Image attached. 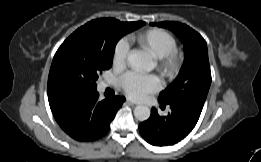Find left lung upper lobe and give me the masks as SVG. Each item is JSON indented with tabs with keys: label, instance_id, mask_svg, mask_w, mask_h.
<instances>
[{
	"label": "left lung upper lobe",
	"instance_id": "obj_1",
	"mask_svg": "<svg viewBox=\"0 0 261 162\" xmlns=\"http://www.w3.org/2000/svg\"><path fill=\"white\" fill-rule=\"evenodd\" d=\"M152 26L168 28L173 31L184 43L185 61L173 81L159 95V102L172 104L186 99L203 107L211 84V71L208 60V50L202 36L189 26L165 21L151 23Z\"/></svg>",
	"mask_w": 261,
	"mask_h": 162
}]
</instances>
